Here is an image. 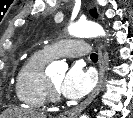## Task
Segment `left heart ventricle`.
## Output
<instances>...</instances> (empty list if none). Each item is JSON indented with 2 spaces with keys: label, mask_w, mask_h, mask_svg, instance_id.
<instances>
[{
  "label": "left heart ventricle",
  "mask_w": 133,
  "mask_h": 118,
  "mask_svg": "<svg viewBox=\"0 0 133 118\" xmlns=\"http://www.w3.org/2000/svg\"><path fill=\"white\" fill-rule=\"evenodd\" d=\"M53 84L56 86L57 89H59V86L63 80V74H58L50 77Z\"/></svg>",
  "instance_id": "left-heart-ventricle-1"
}]
</instances>
